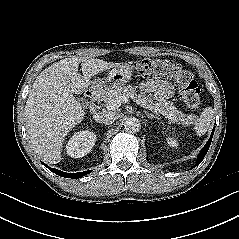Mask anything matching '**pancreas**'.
Returning a JSON list of instances; mask_svg holds the SVG:
<instances>
[{
    "mask_svg": "<svg viewBox=\"0 0 239 239\" xmlns=\"http://www.w3.org/2000/svg\"><path fill=\"white\" fill-rule=\"evenodd\" d=\"M122 97H131L136 100V102L144 108L150 110L159 109L160 111H164L168 114L172 115L171 121L173 123L188 125L191 122V118L186 114L179 111L173 104V102L166 100L154 101L153 98L147 95H137L135 88L131 85L119 87L116 89H112L106 92L103 96V101L107 105L110 100H115Z\"/></svg>",
    "mask_w": 239,
    "mask_h": 239,
    "instance_id": "cf45deb5",
    "label": "pancreas"
}]
</instances>
